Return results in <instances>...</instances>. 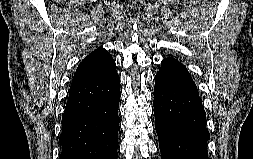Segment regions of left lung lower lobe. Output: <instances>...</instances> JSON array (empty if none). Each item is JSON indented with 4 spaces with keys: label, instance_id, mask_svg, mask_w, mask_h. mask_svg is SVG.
Returning <instances> with one entry per match:
<instances>
[{
    "label": "left lung lower lobe",
    "instance_id": "left-lung-lower-lobe-1",
    "mask_svg": "<svg viewBox=\"0 0 253 159\" xmlns=\"http://www.w3.org/2000/svg\"><path fill=\"white\" fill-rule=\"evenodd\" d=\"M154 99L161 159H209L206 113L191 75L177 59L162 61Z\"/></svg>",
    "mask_w": 253,
    "mask_h": 159
}]
</instances>
